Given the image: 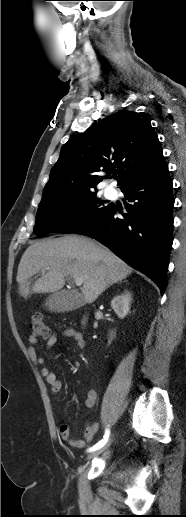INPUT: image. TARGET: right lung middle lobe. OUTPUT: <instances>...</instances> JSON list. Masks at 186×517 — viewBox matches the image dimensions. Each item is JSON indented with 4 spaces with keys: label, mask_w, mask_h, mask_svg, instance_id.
<instances>
[{
    "label": "right lung middle lobe",
    "mask_w": 186,
    "mask_h": 517,
    "mask_svg": "<svg viewBox=\"0 0 186 517\" xmlns=\"http://www.w3.org/2000/svg\"><path fill=\"white\" fill-rule=\"evenodd\" d=\"M96 197L93 190L74 192L39 204L34 233L42 237L51 232H74L111 206Z\"/></svg>",
    "instance_id": "1"
}]
</instances>
